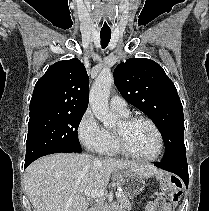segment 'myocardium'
I'll list each match as a JSON object with an SVG mask.
<instances>
[{"label":"myocardium","mask_w":209,"mask_h":211,"mask_svg":"<svg viewBox=\"0 0 209 211\" xmlns=\"http://www.w3.org/2000/svg\"><path fill=\"white\" fill-rule=\"evenodd\" d=\"M138 122H145V123L149 124L156 133L157 140H158V148H157L156 153L151 157H147V158L139 157V156L135 155L133 152H131V150L129 149V147L127 145L126 133L134 124H136ZM115 135H116L117 145H118L120 152L123 155H125L135 161L142 162V163H151V162L156 161L161 156V154L163 152V148H164L163 135H162L159 127L157 126V124L152 119H150L148 117L131 116V117L125 118L122 121V127L120 129L115 130Z\"/></svg>","instance_id":"f54148a6"}]
</instances>
